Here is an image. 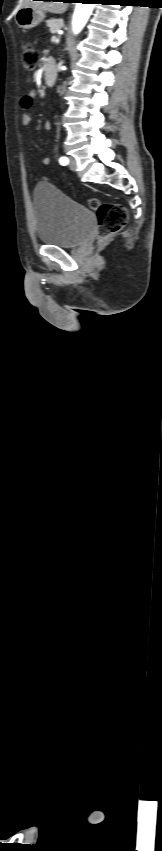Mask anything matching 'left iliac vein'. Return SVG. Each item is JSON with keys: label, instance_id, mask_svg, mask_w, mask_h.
<instances>
[{"label": "left iliac vein", "instance_id": "1", "mask_svg": "<svg viewBox=\"0 0 162 851\" xmlns=\"http://www.w3.org/2000/svg\"><path fill=\"white\" fill-rule=\"evenodd\" d=\"M69 168H70L72 171H75V170H76V168H77L76 160H75L73 157H70V158H69Z\"/></svg>", "mask_w": 162, "mask_h": 851}]
</instances>
